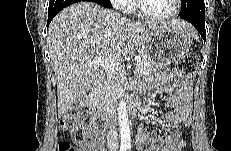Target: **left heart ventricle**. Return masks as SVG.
<instances>
[{"label":"left heart ventricle","instance_id":"obj_1","mask_svg":"<svg viewBox=\"0 0 231 151\" xmlns=\"http://www.w3.org/2000/svg\"><path fill=\"white\" fill-rule=\"evenodd\" d=\"M143 10L151 15H165L172 11L174 0H141Z\"/></svg>","mask_w":231,"mask_h":151}]
</instances>
